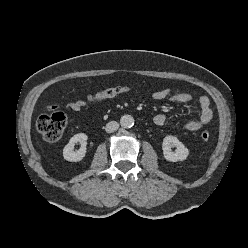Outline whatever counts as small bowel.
Here are the masks:
<instances>
[{
    "instance_id": "obj_1",
    "label": "small bowel",
    "mask_w": 248,
    "mask_h": 248,
    "mask_svg": "<svg viewBox=\"0 0 248 248\" xmlns=\"http://www.w3.org/2000/svg\"><path fill=\"white\" fill-rule=\"evenodd\" d=\"M152 98L155 100H168L177 103H188L192 101L193 96L189 92L177 91L172 88H163L152 93ZM88 102L85 100H77L66 104L65 108L71 111H79L87 106ZM200 107V116L198 120H191L183 125V128L188 131H197L208 124L212 117L213 111L211 109L210 99L207 96H201L198 99ZM167 118L164 114H157L153 121L156 125L162 126L165 124Z\"/></svg>"
}]
</instances>
